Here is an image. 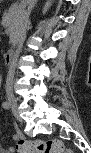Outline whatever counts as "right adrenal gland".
<instances>
[{
	"label": "right adrenal gland",
	"mask_w": 91,
	"mask_h": 153,
	"mask_svg": "<svg viewBox=\"0 0 91 153\" xmlns=\"http://www.w3.org/2000/svg\"><path fill=\"white\" fill-rule=\"evenodd\" d=\"M37 1H38V0H36L35 4L37 3ZM35 4H34L33 8L35 7ZM33 8H32V9H33Z\"/></svg>",
	"instance_id": "obj_1"
}]
</instances>
